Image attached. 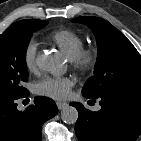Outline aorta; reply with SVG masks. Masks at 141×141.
Instances as JSON below:
<instances>
[{"instance_id":"aorta-1","label":"aorta","mask_w":141,"mask_h":141,"mask_svg":"<svg viewBox=\"0 0 141 141\" xmlns=\"http://www.w3.org/2000/svg\"><path fill=\"white\" fill-rule=\"evenodd\" d=\"M37 66L51 73H57L60 69L57 58L51 53H42L36 59ZM61 119L66 124H74L78 119V111L73 106H66L61 111Z\"/></svg>"}]
</instances>
